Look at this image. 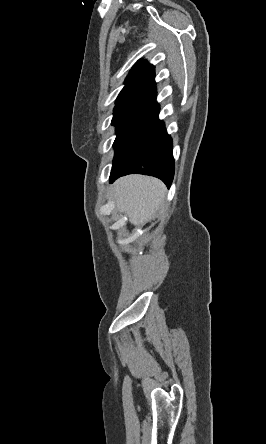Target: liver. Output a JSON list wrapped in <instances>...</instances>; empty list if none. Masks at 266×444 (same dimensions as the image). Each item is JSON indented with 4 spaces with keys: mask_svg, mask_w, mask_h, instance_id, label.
<instances>
[{
    "mask_svg": "<svg viewBox=\"0 0 266 444\" xmlns=\"http://www.w3.org/2000/svg\"><path fill=\"white\" fill-rule=\"evenodd\" d=\"M165 185L157 178L128 175L113 185L112 197L116 208L124 212L133 225L144 224L163 210Z\"/></svg>",
    "mask_w": 266,
    "mask_h": 444,
    "instance_id": "1",
    "label": "liver"
}]
</instances>
